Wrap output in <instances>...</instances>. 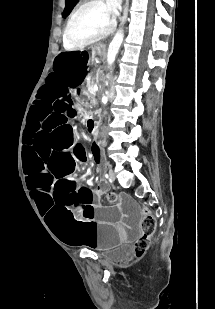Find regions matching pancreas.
<instances>
[{"label": "pancreas", "mask_w": 215, "mask_h": 309, "mask_svg": "<svg viewBox=\"0 0 215 309\" xmlns=\"http://www.w3.org/2000/svg\"><path fill=\"white\" fill-rule=\"evenodd\" d=\"M90 80H87V88L88 90H93V86H94V80H92L91 76H89ZM90 102L91 104H96L97 100L95 98V94H92V96H90Z\"/></svg>", "instance_id": "cf45deb5"}]
</instances>
